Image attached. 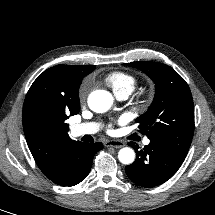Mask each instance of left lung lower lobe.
I'll use <instances>...</instances> for the list:
<instances>
[{
    "label": "left lung lower lobe",
    "instance_id": "0a47b994",
    "mask_svg": "<svg viewBox=\"0 0 215 215\" xmlns=\"http://www.w3.org/2000/svg\"><path fill=\"white\" fill-rule=\"evenodd\" d=\"M136 151V160L125 168L127 176L142 187H154L171 178L180 168L186 155L174 151L169 146L151 141L138 150V145L130 142Z\"/></svg>",
    "mask_w": 215,
    "mask_h": 215
}]
</instances>
